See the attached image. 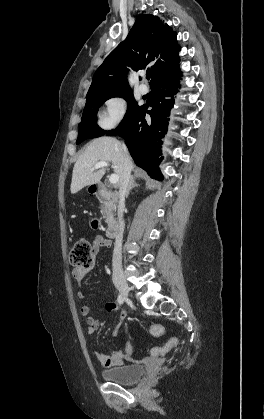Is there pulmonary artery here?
Masks as SVG:
<instances>
[{
	"instance_id": "e3ab8cb5",
	"label": "pulmonary artery",
	"mask_w": 264,
	"mask_h": 419,
	"mask_svg": "<svg viewBox=\"0 0 264 419\" xmlns=\"http://www.w3.org/2000/svg\"><path fill=\"white\" fill-rule=\"evenodd\" d=\"M139 91H140V93H142V94H147V92H148V87H147V85H145V84H140V85H139Z\"/></svg>"
}]
</instances>
